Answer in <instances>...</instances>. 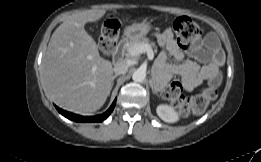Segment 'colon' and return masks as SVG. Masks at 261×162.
Masks as SVG:
<instances>
[{
  "label": "colon",
  "mask_w": 261,
  "mask_h": 162,
  "mask_svg": "<svg viewBox=\"0 0 261 162\" xmlns=\"http://www.w3.org/2000/svg\"><path fill=\"white\" fill-rule=\"evenodd\" d=\"M119 22L115 17H109L100 28L99 46L103 54L109 55L116 45V40L119 35ZM173 30L181 44H186L188 41L195 40L201 37V26L188 17H178L173 22ZM162 96L173 102L179 107L183 113L193 112L196 114L203 113L208 103L215 98L216 89L214 85L205 88L200 94H197L190 99L182 95V85L179 80H172Z\"/></svg>",
  "instance_id": "1"
}]
</instances>
